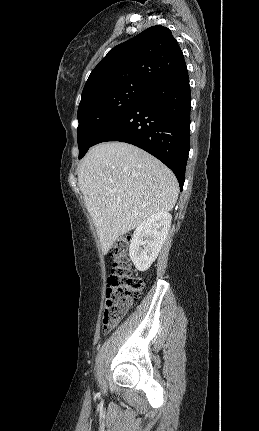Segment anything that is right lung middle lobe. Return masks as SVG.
Here are the masks:
<instances>
[{
	"mask_svg": "<svg viewBox=\"0 0 259 431\" xmlns=\"http://www.w3.org/2000/svg\"><path fill=\"white\" fill-rule=\"evenodd\" d=\"M147 90L138 85H126L93 94L80 102L77 113L79 159Z\"/></svg>",
	"mask_w": 259,
	"mask_h": 431,
	"instance_id": "obj_1",
	"label": "right lung middle lobe"
}]
</instances>
